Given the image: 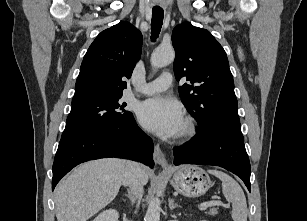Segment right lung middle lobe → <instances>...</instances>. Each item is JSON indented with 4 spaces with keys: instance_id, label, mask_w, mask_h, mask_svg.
I'll use <instances>...</instances> for the list:
<instances>
[{
    "instance_id": "1",
    "label": "right lung middle lobe",
    "mask_w": 307,
    "mask_h": 221,
    "mask_svg": "<svg viewBox=\"0 0 307 221\" xmlns=\"http://www.w3.org/2000/svg\"><path fill=\"white\" fill-rule=\"evenodd\" d=\"M121 96L72 103L61 139L127 119L132 113L124 110Z\"/></svg>"
}]
</instances>
